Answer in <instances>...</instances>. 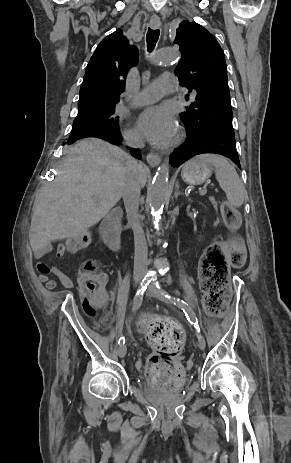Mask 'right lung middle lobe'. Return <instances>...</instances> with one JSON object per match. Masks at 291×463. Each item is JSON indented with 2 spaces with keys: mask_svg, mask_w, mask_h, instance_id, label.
<instances>
[{
  "mask_svg": "<svg viewBox=\"0 0 291 463\" xmlns=\"http://www.w3.org/2000/svg\"><path fill=\"white\" fill-rule=\"evenodd\" d=\"M115 107H108L98 112L76 117L73 122L70 140L97 132L119 130V117L115 116Z\"/></svg>",
  "mask_w": 291,
  "mask_h": 463,
  "instance_id": "dd1d6c3e",
  "label": "right lung middle lobe"
}]
</instances>
